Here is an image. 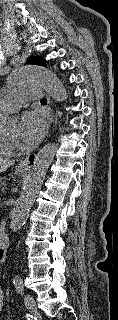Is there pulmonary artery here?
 <instances>
[{
    "mask_svg": "<svg viewBox=\"0 0 118 320\" xmlns=\"http://www.w3.org/2000/svg\"><path fill=\"white\" fill-rule=\"evenodd\" d=\"M41 97L40 86L37 84L25 85L21 89H12L10 93L0 99V113L15 112L26 101H38Z\"/></svg>",
    "mask_w": 118,
    "mask_h": 320,
    "instance_id": "obj_1",
    "label": "pulmonary artery"
}]
</instances>
